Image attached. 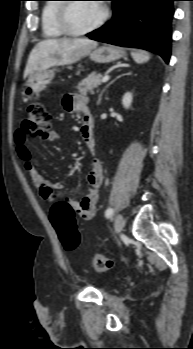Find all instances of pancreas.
I'll return each mask as SVG.
<instances>
[{
  "mask_svg": "<svg viewBox=\"0 0 193 349\" xmlns=\"http://www.w3.org/2000/svg\"><path fill=\"white\" fill-rule=\"evenodd\" d=\"M102 75L99 73H91L85 79H83L77 86L80 94L86 95L87 93H93L94 89L101 84Z\"/></svg>",
  "mask_w": 193,
  "mask_h": 349,
  "instance_id": "obj_1",
  "label": "pancreas"
}]
</instances>
